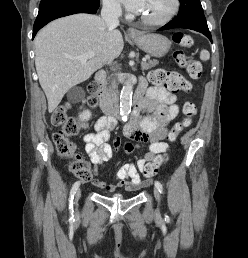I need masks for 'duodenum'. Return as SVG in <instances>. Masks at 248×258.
<instances>
[{
    "label": "duodenum",
    "mask_w": 248,
    "mask_h": 258,
    "mask_svg": "<svg viewBox=\"0 0 248 258\" xmlns=\"http://www.w3.org/2000/svg\"><path fill=\"white\" fill-rule=\"evenodd\" d=\"M106 79V73L104 71H98L95 74L94 82L97 85L96 97L99 103L101 110L110 118L118 119L120 117V106L119 102L112 98L104 88ZM144 90V84H140L135 92L134 98V108L133 113H135L140 104V98Z\"/></svg>",
    "instance_id": "1"
}]
</instances>
